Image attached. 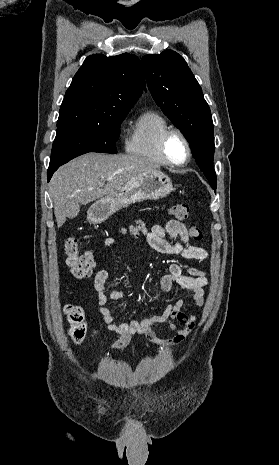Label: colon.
<instances>
[{
  "mask_svg": "<svg viewBox=\"0 0 279 465\" xmlns=\"http://www.w3.org/2000/svg\"><path fill=\"white\" fill-rule=\"evenodd\" d=\"M172 215L178 221H184L189 216V207L186 204H175L171 209ZM143 222H138L131 227V232L135 235L144 232ZM189 236L195 241H201L203 238L202 231L196 227L189 228ZM66 264L70 273L76 278L88 277L95 266V257L93 252H80L78 240L74 237L68 238L65 242ZM67 321L69 323V335L74 342L81 341L86 334L85 312L78 305H68L65 309Z\"/></svg>",
  "mask_w": 279,
  "mask_h": 465,
  "instance_id": "1",
  "label": "colon"
}]
</instances>
